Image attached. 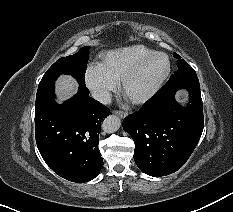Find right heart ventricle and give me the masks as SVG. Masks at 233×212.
Instances as JSON below:
<instances>
[{
	"instance_id": "1",
	"label": "right heart ventricle",
	"mask_w": 233,
	"mask_h": 212,
	"mask_svg": "<svg viewBox=\"0 0 233 212\" xmlns=\"http://www.w3.org/2000/svg\"><path fill=\"white\" fill-rule=\"evenodd\" d=\"M144 45H131L101 55L100 65L117 82L141 59L154 53Z\"/></svg>"
}]
</instances>
